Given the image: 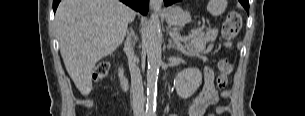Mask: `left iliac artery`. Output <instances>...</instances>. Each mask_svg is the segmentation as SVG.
<instances>
[{
  "instance_id": "1",
  "label": "left iliac artery",
  "mask_w": 305,
  "mask_h": 116,
  "mask_svg": "<svg viewBox=\"0 0 305 116\" xmlns=\"http://www.w3.org/2000/svg\"><path fill=\"white\" fill-rule=\"evenodd\" d=\"M152 116H156V114H152Z\"/></svg>"
}]
</instances>
